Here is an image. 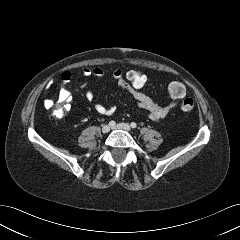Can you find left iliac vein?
Masks as SVG:
<instances>
[{
    "mask_svg": "<svg viewBox=\"0 0 240 240\" xmlns=\"http://www.w3.org/2000/svg\"><path fill=\"white\" fill-rule=\"evenodd\" d=\"M113 129H120V130H125L127 132H130L131 131V128L128 124L126 123H120V124H117L116 126L112 127Z\"/></svg>",
    "mask_w": 240,
    "mask_h": 240,
    "instance_id": "left-iliac-vein-1",
    "label": "left iliac vein"
}]
</instances>
